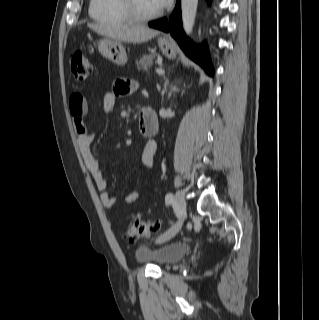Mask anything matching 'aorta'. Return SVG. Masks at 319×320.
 <instances>
[{"mask_svg":"<svg viewBox=\"0 0 319 320\" xmlns=\"http://www.w3.org/2000/svg\"><path fill=\"white\" fill-rule=\"evenodd\" d=\"M198 0H181L183 29L187 35H190L197 12Z\"/></svg>","mask_w":319,"mask_h":320,"instance_id":"1","label":"aorta"}]
</instances>
